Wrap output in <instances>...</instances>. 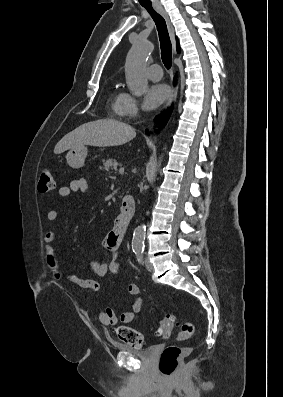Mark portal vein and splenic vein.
<instances>
[{"label":"portal vein and splenic vein","mask_w":283,"mask_h":397,"mask_svg":"<svg viewBox=\"0 0 283 397\" xmlns=\"http://www.w3.org/2000/svg\"><path fill=\"white\" fill-rule=\"evenodd\" d=\"M119 173H120V174H123V173H124V168H120V169H119Z\"/></svg>","instance_id":"obj_1"}]
</instances>
